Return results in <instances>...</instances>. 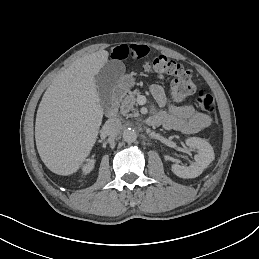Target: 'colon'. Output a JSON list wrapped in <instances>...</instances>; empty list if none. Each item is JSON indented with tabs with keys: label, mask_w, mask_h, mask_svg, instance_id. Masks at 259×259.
Segmentation results:
<instances>
[{
	"label": "colon",
	"mask_w": 259,
	"mask_h": 259,
	"mask_svg": "<svg viewBox=\"0 0 259 259\" xmlns=\"http://www.w3.org/2000/svg\"><path fill=\"white\" fill-rule=\"evenodd\" d=\"M144 68L149 73L172 78L171 93L175 100H182L196 90L190 72L179 63L164 56H158L147 62ZM195 100L205 112H214L215 102L213 96L205 89L197 90Z\"/></svg>",
	"instance_id": "obj_1"
}]
</instances>
